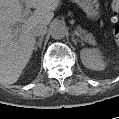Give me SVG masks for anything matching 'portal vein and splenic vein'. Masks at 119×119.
<instances>
[{"label": "portal vein and splenic vein", "instance_id": "obj_1", "mask_svg": "<svg viewBox=\"0 0 119 119\" xmlns=\"http://www.w3.org/2000/svg\"><path fill=\"white\" fill-rule=\"evenodd\" d=\"M30 13V9H29V6L27 5L25 11H24V17H27ZM19 27H17L14 32L15 33H18L19 32ZM76 35H78L82 40L86 41L78 32H75Z\"/></svg>", "mask_w": 119, "mask_h": 119}]
</instances>
